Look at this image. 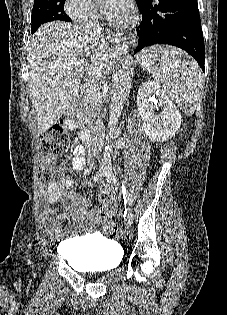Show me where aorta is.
Wrapping results in <instances>:
<instances>
[{
    "label": "aorta",
    "mask_w": 227,
    "mask_h": 315,
    "mask_svg": "<svg viewBox=\"0 0 227 315\" xmlns=\"http://www.w3.org/2000/svg\"><path fill=\"white\" fill-rule=\"evenodd\" d=\"M115 42L117 43V40H115ZM131 75L132 62L130 58H126L122 62L112 85L113 98L112 104L110 106L109 122L107 125L108 136L112 135L116 129V125L118 123V119L121 114L124 101L126 99V95L130 87ZM111 152H112L111 145L108 144L105 147L102 162L107 163L108 161H110Z\"/></svg>",
    "instance_id": "aorta-1"
}]
</instances>
